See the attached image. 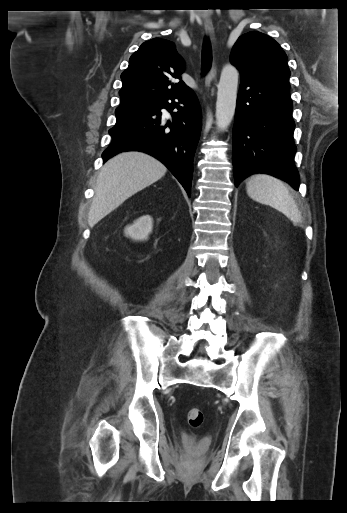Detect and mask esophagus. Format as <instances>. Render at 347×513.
Masks as SVG:
<instances>
[{"label": "esophagus", "instance_id": "34e87169", "mask_svg": "<svg viewBox=\"0 0 347 513\" xmlns=\"http://www.w3.org/2000/svg\"><path fill=\"white\" fill-rule=\"evenodd\" d=\"M204 28H205L206 34L214 42L215 37H214V27H213L212 21L211 20H206L204 22ZM216 75H217V69H216L215 63H213L211 69L209 70V72H208V74L206 75V78H205V85L207 87L210 85V83L213 80L216 79Z\"/></svg>", "mask_w": 347, "mask_h": 513}]
</instances>
